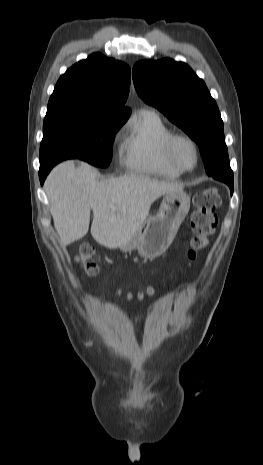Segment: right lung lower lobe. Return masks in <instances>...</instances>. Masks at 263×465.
I'll list each match as a JSON object with an SVG mask.
<instances>
[{"label": "right lung lower lobe", "mask_w": 263, "mask_h": 465, "mask_svg": "<svg viewBox=\"0 0 263 465\" xmlns=\"http://www.w3.org/2000/svg\"><path fill=\"white\" fill-rule=\"evenodd\" d=\"M50 170L51 169H49V168H44V169L40 168L39 177H40L41 184H43V182H44V180H45V178H46V176H47V174L49 173Z\"/></svg>", "instance_id": "98d812e1"}]
</instances>
